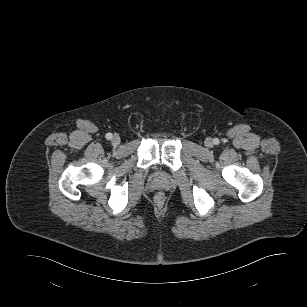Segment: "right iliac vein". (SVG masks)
Here are the masks:
<instances>
[{
    "instance_id": "63e3f726",
    "label": "right iliac vein",
    "mask_w": 307,
    "mask_h": 307,
    "mask_svg": "<svg viewBox=\"0 0 307 307\" xmlns=\"http://www.w3.org/2000/svg\"><path fill=\"white\" fill-rule=\"evenodd\" d=\"M119 143H120V138H119V136L118 135H114L113 137H112V144L113 145H119Z\"/></svg>"
}]
</instances>
